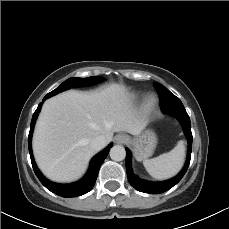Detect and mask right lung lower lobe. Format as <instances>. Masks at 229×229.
Wrapping results in <instances>:
<instances>
[{"label":"right lung lower lobe","mask_w":229,"mask_h":229,"mask_svg":"<svg viewBox=\"0 0 229 229\" xmlns=\"http://www.w3.org/2000/svg\"><path fill=\"white\" fill-rule=\"evenodd\" d=\"M45 99H47L46 96L44 97L43 101ZM41 106H42V103H40L38 105V108L36 109L35 113L33 114L31 126H30L29 138H28L29 153H30L32 166H33V169H34L36 176L38 177L40 182L49 191L56 193L59 196H62L65 198H70V197H77V196H81L83 194H86L87 192L92 190V188L95 184V181L97 179L100 166L103 163L104 159L107 157L108 152H109L110 148L112 147V143L110 145H108L107 148H105L102 152H100L99 154H97L96 156L93 157L87 173L85 174V176L81 180H79L75 183H72V184H57V183H53V182L49 181L48 179H46L41 174V172L37 168L36 163H35L34 158H33L32 149H31L32 132H33L36 118L40 112Z\"/></svg>","instance_id":"right-lung-lower-lobe-1"}]
</instances>
